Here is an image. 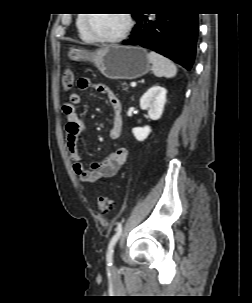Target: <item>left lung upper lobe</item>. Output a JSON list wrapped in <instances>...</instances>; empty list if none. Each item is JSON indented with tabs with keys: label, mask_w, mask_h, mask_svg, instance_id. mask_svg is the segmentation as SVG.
Wrapping results in <instances>:
<instances>
[{
	"label": "left lung upper lobe",
	"mask_w": 252,
	"mask_h": 303,
	"mask_svg": "<svg viewBox=\"0 0 252 303\" xmlns=\"http://www.w3.org/2000/svg\"><path fill=\"white\" fill-rule=\"evenodd\" d=\"M139 14H134L133 17L136 18Z\"/></svg>",
	"instance_id": "1"
}]
</instances>
